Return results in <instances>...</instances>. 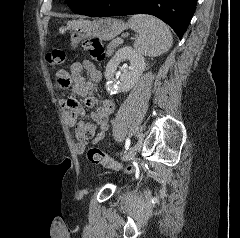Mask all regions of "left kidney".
Instances as JSON below:
<instances>
[{"mask_svg": "<svg viewBox=\"0 0 240 238\" xmlns=\"http://www.w3.org/2000/svg\"><path fill=\"white\" fill-rule=\"evenodd\" d=\"M124 60L130 61V67L123 71L119 81H115L113 79L115 70ZM144 68L145 59L136 49L129 46L119 49L106 66L105 78L107 79V90L111 94L128 92L138 81Z\"/></svg>", "mask_w": 240, "mask_h": 238, "instance_id": "left-kidney-1", "label": "left kidney"}]
</instances>
